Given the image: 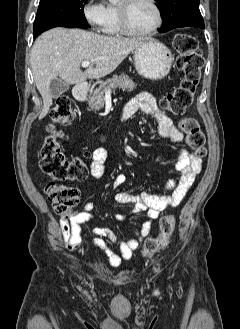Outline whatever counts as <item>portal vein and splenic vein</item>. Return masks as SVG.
Returning <instances> with one entry per match:
<instances>
[{"label": "portal vein and splenic vein", "instance_id": "1", "mask_svg": "<svg viewBox=\"0 0 240 329\" xmlns=\"http://www.w3.org/2000/svg\"><path fill=\"white\" fill-rule=\"evenodd\" d=\"M92 63L93 62H90V61H84V62H82V67L86 68V67L90 66ZM105 94H106V96H110L111 91L107 90Z\"/></svg>", "mask_w": 240, "mask_h": 329}]
</instances>
